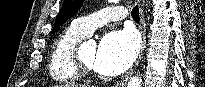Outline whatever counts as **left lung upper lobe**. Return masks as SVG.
<instances>
[{
	"mask_svg": "<svg viewBox=\"0 0 205 87\" xmlns=\"http://www.w3.org/2000/svg\"><path fill=\"white\" fill-rule=\"evenodd\" d=\"M83 2L84 0H65L55 19V24L51 33H55L65 21L72 17L80 9Z\"/></svg>",
	"mask_w": 205,
	"mask_h": 87,
	"instance_id": "1",
	"label": "left lung upper lobe"
}]
</instances>
